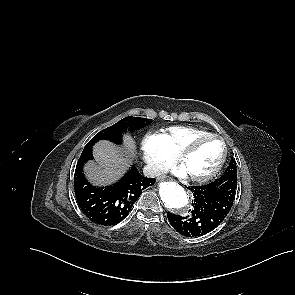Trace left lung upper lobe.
Segmentation results:
<instances>
[{
	"instance_id": "1",
	"label": "left lung upper lobe",
	"mask_w": 295,
	"mask_h": 295,
	"mask_svg": "<svg viewBox=\"0 0 295 295\" xmlns=\"http://www.w3.org/2000/svg\"><path fill=\"white\" fill-rule=\"evenodd\" d=\"M228 173L237 175L236 161L234 158H231L230 164L225 171V174H228Z\"/></svg>"
}]
</instances>
